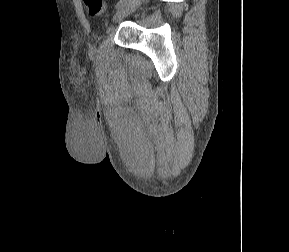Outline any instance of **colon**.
<instances>
[{
	"instance_id": "5ec220e1",
	"label": "colon",
	"mask_w": 289,
	"mask_h": 252,
	"mask_svg": "<svg viewBox=\"0 0 289 252\" xmlns=\"http://www.w3.org/2000/svg\"><path fill=\"white\" fill-rule=\"evenodd\" d=\"M83 1L91 16H101L106 11V3L104 0H83Z\"/></svg>"
}]
</instances>
